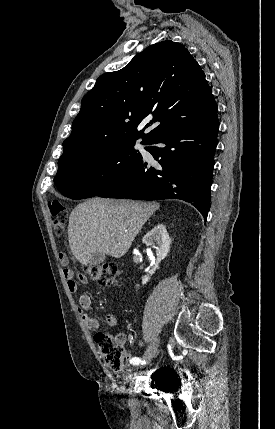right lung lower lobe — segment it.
I'll list each match as a JSON object with an SVG mask.
<instances>
[{
  "mask_svg": "<svg viewBox=\"0 0 275 429\" xmlns=\"http://www.w3.org/2000/svg\"><path fill=\"white\" fill-rule=\"evenodd\" d=\"M217 111L211 116L167 130L148 141L146 150L158 162L138 165L99 193V197L138 200L181 199L191 203L205 221L217 146Z\"/></svg>",
  "mask_w": 275,
  "mask_h": 429,
  "instance_id": "98d812e1",
  "label": "right lung lower lobe"
}]
</instances>
